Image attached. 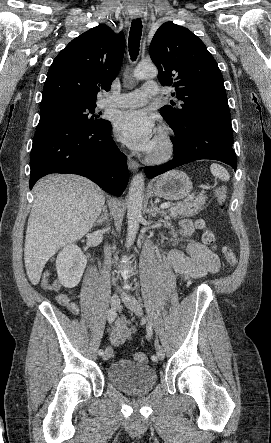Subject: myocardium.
<instances>
[{
  "instance_id": "obj_1",
  "label": "myocardium",
  "mask_w": 271,
  "mask_h": 443,
  "mask_svg": "<svg viewBox=\"0 0 271 443\" xmlns=\"http://www.w3.org/2000/svg\"><path fill=\"white\" fill-rule=\"evenodd\" d=\"M159 141V148L150 151L148 160L154 163H161L171 159L176 151V143L172 131L166 127H161L156 135Z\"/></svg>"
}]
</instances>
